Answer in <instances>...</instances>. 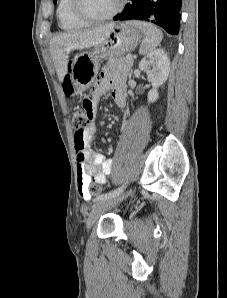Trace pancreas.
<instances>
[{
	"mask_svg": "<svg viewBox=\"0 0 227 298\" xmlns=\"http://www.w3.org/2000/svg\"><path fill=\"white\" fill-rule=\"evenodd\" d=\"M132 66L133 60H129L127 57H111L104 69H113L121 72L123 75H129Z\"/></svg>",
	"mask_w": 227,
	"mask_h": 298,
	"instance_id": "cf45deb5",
	"label": "pancreas"
}]
</instances>
